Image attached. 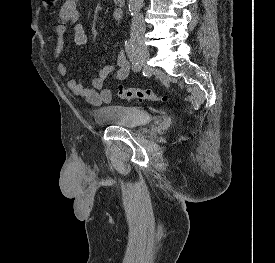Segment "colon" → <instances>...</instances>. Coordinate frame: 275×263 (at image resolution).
Wrapping results in <instances>:
<instances>
[{
	"label": "colon",
	"instance_id": "obj_1",
	"mask_svg": "<svg viewBox=\"0 0 275 263\" xmlns=\"http://www.w3.org/2000/svg\"><path fill=\"white\" fill-rule=\"evenodd\" d=\"M60 0H45V2L52 6L56 5ZM119 98L123 100H149L161 101L164 97L157 95L150 89H140L135 86L119 87L117 90Z\"/></svg>",
	"mask_w": 275,
	"mask_h": 263
}]
</instances>
